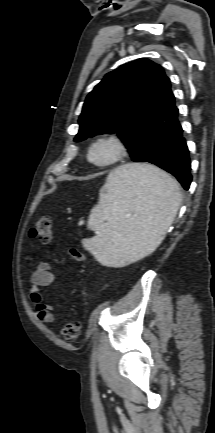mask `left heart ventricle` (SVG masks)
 Here are the masks:
<instances>
[{
	"mask_svg": "<svg viewBox=\"0 0 215 433\" xmlns=\"http://www.w3.org/2000/svg\"><path fill=\"white\" fill-rule=\"evenodd\" d=\"M113 154V147L109 144H101L93 150L92 158L96 161H106Z\"/></svg>",
	"mask_w": 215,
	"mask_h": 433,
	"instance_id": "left-heart-ventricle-1",
	"label": "left heart ventricle"
}]
</instances>
